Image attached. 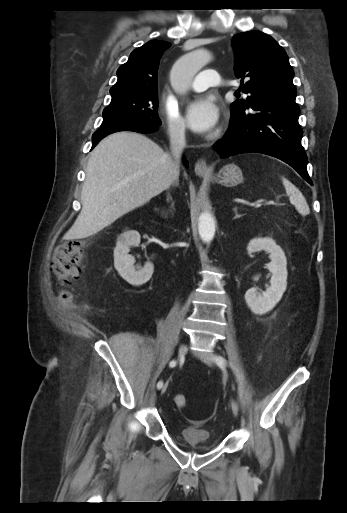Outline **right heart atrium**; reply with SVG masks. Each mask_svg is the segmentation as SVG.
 I'll return each instance as SVG.
<instances>
[{"instance_id": "d8ad5b80", "label": "right heart atrium", "mask_w": 347, "mask_h": 513, "mask_svg": "<svg viewBox=\"0 0 347 513\" xmlns=\"http://www.w3.org/2000/svg\"><path fill=\"white\" fill-rule=\"evenodd\" d=\"M159 110L163 116L170 137L176 141L183 140L186 129L176 103L169 97L163 95L160 99Z\"/></svg>"}]
</instances>
